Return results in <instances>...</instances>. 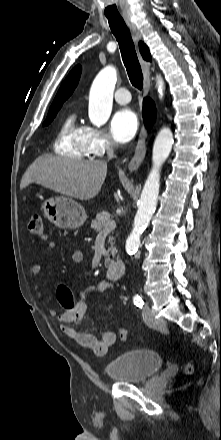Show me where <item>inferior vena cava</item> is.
<instances>
[{"label":"inferior vena cava","instance_id":"inferior-vena-cava-1","mask_svg":"<svg viewBox=\"0 0 221 440\" xmlns=\"http://www.w3.org/2000/svg\"><path fill=\"white\" fill-rule=\"evenodd\" d=\"M107 154H108V158L111 159L114 157V151L111 147L107 148Z\"/></svg>","mask_w":221,"mask_h":440}]
</instances>
